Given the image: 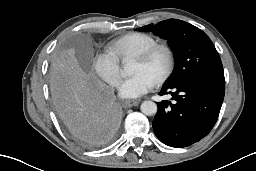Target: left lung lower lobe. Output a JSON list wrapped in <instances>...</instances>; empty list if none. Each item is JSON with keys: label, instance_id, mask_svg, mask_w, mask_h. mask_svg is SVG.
I'll return each mask as SVG.
<instances>
[{"label": "left lung lower lobe", "instance_id": "obj_1", "mask_svg": "<svg viewBox=\"0 0 256 171\" xmlns=\"http://www.w3.org/2000/svg\"><path fill=\"white\" fill-rule=\"evenodd\" d=\"M224 92V75H194L179 83L164 85L160 95L171 94L173 102L158 103L152 123L158 139L175 148L198 142L215 125Z\"/></svg>", "mask_w": 256, "mask_h": 171}]
</instances>
